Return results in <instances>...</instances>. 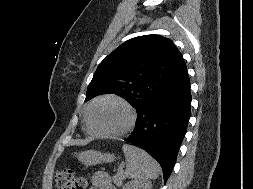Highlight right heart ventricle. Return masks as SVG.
Here are the masks:
<instances>
[{
	"instance_id": "1",
	"label": "right heart ventricle",
	"mask_w": 253,
	"mask_h": 189,
	"mask_svg": "<svg viewBox=\"0 0 253 189\" xmlns=\"http://www.w3.org/2000/svg\"><path fill=\"white\" fill-rule=\"evenodd\" d=\"M88 133H90L89 129H87Z\"/></svg>"
}]
</instances>
